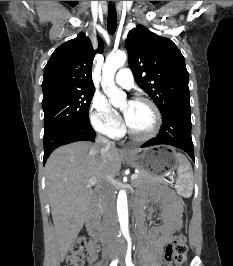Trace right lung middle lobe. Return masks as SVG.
Masks as SVG:
<instances>
[{"mask_svg": "<svg viewBox=\"0 0 233 266\" xmlns=\"http://www.w3.org/2000/svg\"><path fill=\"white\" fill-rule=\"evenodd\" d=\"M93 94L94 89H85L44 95V135L66 125L90 123L88 112Z\"/></svg>", "mask_w": 233, "mask_h": 266, "instance_id": "1", "label": "right lung middle lobe"}]
</instances>
